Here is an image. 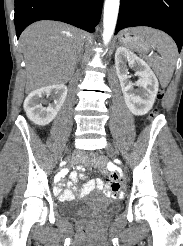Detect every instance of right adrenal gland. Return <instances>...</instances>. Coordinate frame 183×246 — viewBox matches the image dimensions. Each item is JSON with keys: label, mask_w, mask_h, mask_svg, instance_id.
<instances>
[{"label": "right adrenal gland", "mask_w": 183, "mask_h": 246, "mask_svg": "<svg viewBox=\"0 0 183 246\" xmlns=\"http://www.w3.org/2000/svg\"><path fill=\"white\" fill-rule=\"evenodd\" d=\"M80 57H81V52H80L79 55H78L77 63L80 61Z\"/></svg>", "instance_id": "2a0ac1e0"}]
</instances>
